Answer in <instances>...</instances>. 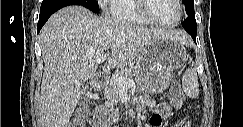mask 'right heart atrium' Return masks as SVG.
<instances>
[{
  "label": "right heart atrium",
  "instance_id": "right-heart-atrium-1",
  "mask_svg": "<svg viewBox=\"0 0 243 127\" xmlns=\"http://www.w3.org/2000/svg\"><path fill=\"white\" fill-rule=\"evenodd\" d=\"M100 3L104 5L105 3H107V1L106 0H102V1H100Z\"/></svg>",
  "mask_w": 243,
  "mask_h": 127
}]
</instances>
